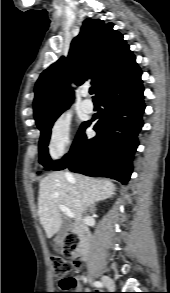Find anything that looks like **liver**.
Segmentation results:
<instances>
[{
	"instance_id": "1",
	"label": "liver",
	"mask_w": 170,
	"mask_h": 293,
	"mask_svg": "<svg viewBox=\"0 0 170 293\" xmlns=\"http://www.w3.org/2000/svg\"><path fill=\"white\" fill-rule=\"evenodd\" d=\"M115 185L109 180L91 178L81 174L68 176L65 172H52L40 181L38 215L48 238L62 225L59 205L74 213L75 226L82 222L84 210L95 202L111 197Z\"/></svg>"
}]
</instances>
